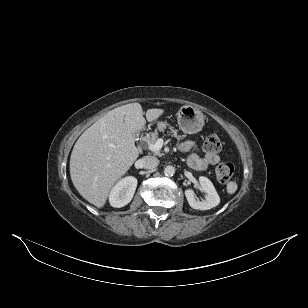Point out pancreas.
Instances as JSON below:
<instances>
[{
	"mask_svg": "<svg viewBox=\"0 0 308 308\" xmlns=\"http://www.w3.org/2000/svg\"><path fill=\"white\" fill-rule=\"evenodd\" d=\"M168 126L167 122H158L157 123V129L155 132L150 133L149 135L144 137V141L147 145L154 144L158 140V131L164 132L166 127ZM170 133L172 136L176 137L178 140L182 139L184 135H178V130L174 129L173 127L169 126ZM155 155L161 156L162 153H160L159 150L153 151Z\"/></svg>",
	"mask_w": 308,
	"mask_h": 308,
	"instance_id": "obj_1",
	"label": "pancreas"
}]
</instances>
